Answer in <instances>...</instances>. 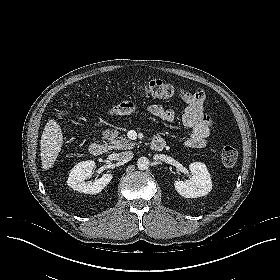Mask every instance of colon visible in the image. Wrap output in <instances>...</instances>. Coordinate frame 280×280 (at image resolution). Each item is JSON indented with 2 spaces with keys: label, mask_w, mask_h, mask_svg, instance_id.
<instances>
[{
  "label": "colon",
  "mask_w": 280,
  "mask_h": 280,
  "mask_svg": "<svg viewBox=\"0 0 280 280\" xmlns=\"http://www.w3.org/2000/svg\"><path fill=\"white\" fill-rule=\"evenodd\" d=\"M138 90L144 96H153L159 98H168L174 94L173 86L164 80H151L138 85ZM134 111V105L131 102H125L121 104L120 112L123 115H130ZM56 114L59 118H63L65 111L63 104H59L56 109ZM238 158V152L234 147L227 146L223 148L221 153V161L225 166H233Z\"/></svg>",
  "instance_id": "obj_1"
}]
</instances>
